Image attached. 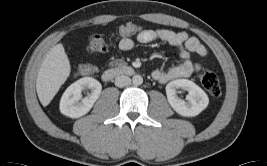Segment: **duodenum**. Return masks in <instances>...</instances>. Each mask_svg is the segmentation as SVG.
Returning a JSON list of instances; mask_svg holds the SVG:
<instances>
[{"label": "duodenum", "instance_id": "obj_1", "mask_svg": "<svg viewBox=\"0 0 267 166\" xmlns=\"http://www.w3.org/2000/svg\"><path fill=\"white\" fill-rule=\"evenodd\" d=\"M135 70L130 65L118 64L113 67L107 68L102 72V79L104 81H110L117 76H133Z\"/></svg>", "mask_w": 267, "mask_h": 166}]
</instances>
